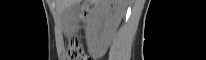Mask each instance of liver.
<instances>
[{
	"label": "liver",
	"mask_w": 206,
	"mask_h": 60,
	"mask_svg": "<svg viewBox=\"0 0 206 60\" xmlns=\"http://www.w3.org/2000/svg\"><path fill=\"white\" fill-rule=\"evenodd\" d=\"M81 2V0H56V8L59 14L63 12L67 7L71 6L74 2ZM94 2V0H88ZM106 3L110 4V0H106ZM126 0H115L114 4L116 9L109 13L112 22V32H115L118 28L123 14L126 8Z\"/></svg>",
	"instance_id": "liver-1"
}]
</instances>
